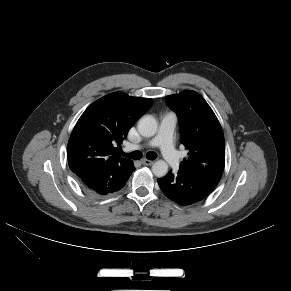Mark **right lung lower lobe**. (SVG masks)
Instances as JSON below:
<instances>
[{"instance_id":"1","label":"right lung lower lobe","mask_w":291,"mask_h":291,"mask_svg":"<svg viewBox=\"0 0 291 291\" xmlns=\"http://www.w3.org/2000/svg\"><path fill=\"white\" fill-rule=\"evenodd\" d=\"M135 167L111 164L94 168L79 177L83 190L91 196H104L123 188Z\"/></svg>"}]
</instances>
